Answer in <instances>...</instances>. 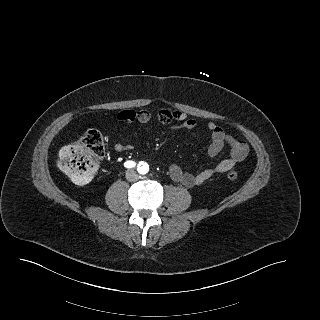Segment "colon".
<instances>
[{"mask_svg":"<svg viewBox=\"0 0 320 320\" xmlns=\"http://www.w3.org/2000/svg\"><path fill=\"white\" fill-rule=\"evenodd\" d=\"M105 155V146L101 133L91 129L86 131L74 144L61 148L58 154V166L74 182L87 183L96 173L100 161ZM238 174L229 171L227 178L236 180Z\"/></svg>","mask_w":320,"mask_h":320,"instance_id":"5ec220e1","label":"colon"}]
</instances>
